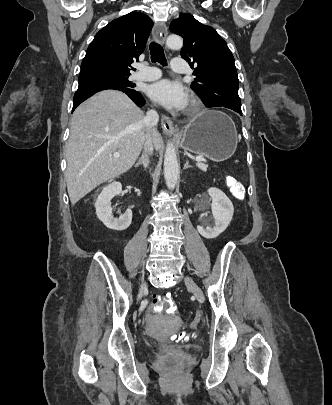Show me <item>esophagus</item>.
Listing matches in <instances>:
<instances>
[{
    "label": "esophagus",
    "mask_w": 332,
    "mask_h": 405,
    "mask_svg": "<svg viewBox=\"0 0 332 405\" xmlns=\"http://www.w3.org/2000/svg\"><path fill=\"white\" fill-rule=\"evenodd\" d=\"M168 30L165 23H157L153 29V36L154 38L159 41L161 44L165 43V39L167 37ZM161 126L163 131L169 135H177L178 130L175 128L171 119L167 116H163L161 119Z\"/></svg>",
    "instance_id": "34e87169"
}]
</instances>
